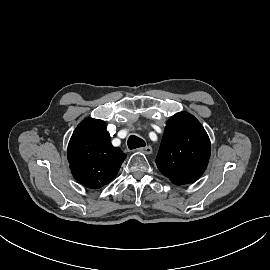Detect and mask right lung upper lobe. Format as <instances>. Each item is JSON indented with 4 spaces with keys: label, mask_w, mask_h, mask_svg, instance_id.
<instances>
[{
    "label": "right lung upper lobe",
    "mask_w": 270,
    "mask_h": 270,
    "mask_svg": "<svg viewBox=\"0 0 270 270\" xmlns=\"http://www.w3.org/2000/svg\"><path fill=\"white\" fill-rule=\"evenodd\" d=\"M67 157L74 178L96 189L116 176L126 154L112 146L104 121L88 118L72 134Z\"/></svg>",
    "instance_id": "obj_1"
}]
</instances>
